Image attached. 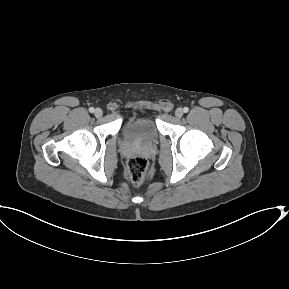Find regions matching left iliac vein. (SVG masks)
<instances>
[{
    "label": "left iliac vein",
    "mask_w": 289,
    "mask_h": 289,
    "mask_svg": "<svg viewBox=\"0 0 289 289\" xmlns=\"http://www.w3.org/2000/svg\"><path fill=\"white\" fill-rule=\"evenodd\" d=\"M175 116L181 118L183 116V110L181 108L176 109Z\"/></svg>",
    "instance_id": "1"
}]
</instances>
